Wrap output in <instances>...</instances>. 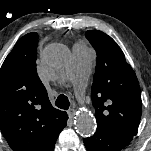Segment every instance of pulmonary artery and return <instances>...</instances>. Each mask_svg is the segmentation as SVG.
<instances>
[{"label":"pulmonary artery","mask_w":151,"mask_h":151,"mask_svg":"<svg viewBox=\"0 0 151 151\" xmlns=\"http://www.w3.org/2000/svg\"><path fill=\"white\" fill-rule=\"evenodd\" d=\"M94 57L95 53L91 48L82 44L74 45L73 64L68 76L78 95L84 92Z\"/></svg>","instance_id":"pulmonary-artery-1"}]
</instances>
